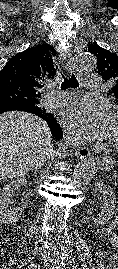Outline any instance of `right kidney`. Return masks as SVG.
<instances>
[{
    "mask_svg": "<svg viewBox=\"0 0 118 269\" xmlns=\"http://www.w3.org/2000/svg\"><path fill=\"white\" fill-rule=\"evenodd\" d=\"M29 182L25 178H18L7 183L2 189L0 188V222L3 224L15 223L23 211L24 205L13 206L14 190L20 185L27 186ZM12 205V206H11Z\"/></svg>",
    "mask_w": 118,
    "mask_h": 269,
    "instance_id": "1",
    "label": "right kidney"
}]
</instances>
